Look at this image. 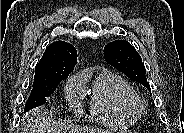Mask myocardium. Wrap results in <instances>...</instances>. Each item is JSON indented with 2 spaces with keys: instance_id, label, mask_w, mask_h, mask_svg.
I'll list each match as a JSON object with an SVG mask.
<instances>
[{
  "instance_id": "obj_1",
  "label": "myocardium",
  "mask_w": 184,
  "mask_h": 133,
  "mask_svg": "<svg viewBox=\"0 0 184 133\" xmlns=\"http://www.w3.org/2000/svg\"><path fill=\"white\" fill-rule=\"evenodd\" d=\"M125 107L136 117L140 116L145 110L144 102L136 94L125 99Z\"/></svg>"
}]
</instances>
